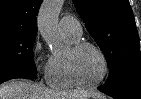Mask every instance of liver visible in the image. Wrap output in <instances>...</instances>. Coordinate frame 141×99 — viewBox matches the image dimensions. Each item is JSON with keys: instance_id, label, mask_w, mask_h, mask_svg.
<instances>
[{"instance_id": "liver-1", "label": "liver", "mask_w": 141, "mask_h": 99, "mask_svg": "<svg viewBox=\"0 0 141 99\" xmlns=\"http://www.w3.org/2000/svg\"><path fill=\"white\" fill-rule=\"evenodd\" d=\"M106 99L100 92L55 91L29 80H12L0 86V99Z\"/></svg>"}]
</instances>
